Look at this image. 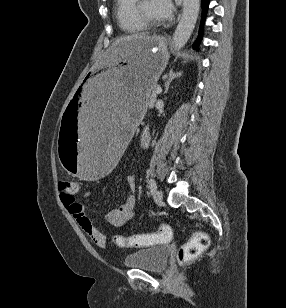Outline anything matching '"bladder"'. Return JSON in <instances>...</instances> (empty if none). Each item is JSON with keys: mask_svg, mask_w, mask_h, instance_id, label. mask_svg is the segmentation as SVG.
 <instances>
[{"mask_svg": "<svg viewBox=\"0 0 286 308\" xmlns=\"http://www.w3.org/2000/svg\"><path fill=\"white\" fill-rule=\"evenodd\" d=\"M169 260L167 245H155L139 249L124 260L125 267L143 269L147 271H163Z\"/></svg>", "mask_w": 286, "mask_h": 308, "instance_id": "31cf9c89", "label": "bladder"}]
</instances>
